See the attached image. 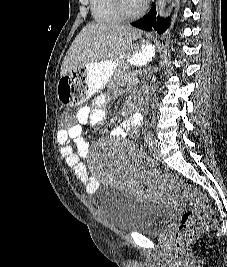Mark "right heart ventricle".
<instances>
[{"label": "right heart ventricle", "mask_w": 227, "mask_h": 267, "mask_svg": "<svg viewBox=\"0 0 227 267\" xmlns=\"http://www.w3.org/2000/svg\"><path fill=\"white\" fill-rule=\"evenodd\" d=\"M94 19L99 23L114 24L121 21L113 0H90Z\"/></svg>", "instance_id": "right-heart-ventricle-1"}]
</instances>
